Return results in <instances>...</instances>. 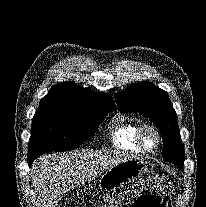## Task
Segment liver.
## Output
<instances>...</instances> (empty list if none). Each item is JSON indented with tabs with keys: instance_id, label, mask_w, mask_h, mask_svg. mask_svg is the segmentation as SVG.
Masks as SVG:
<instances>
[{
	"instance_id": "liver-1",
	"label": "liver",
	"mask_w": 206,
	"mask_h": 207,
	"mask_svg": "<svg viewBox=\"0 0 206 207\" xmlns=\"http://www.w3.org/2000/svg\"><path fill=\"white\" fill-rule=\"evenodd\" d=\"M132 158L120 152L75 150L36 159L31 168V180L38 194L39 207H56L68 191Z\"/></svg>"
}]
</instances>
